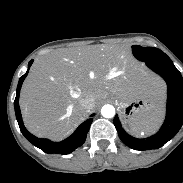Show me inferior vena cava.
I'll use <instances>...</instances> for the list:
<instances>
[{
    "instance_id": "1",
    "label": "inferior vena cava",
    "mask_w": 183,
    "mask_h": 183,
    "mask_svg": "<svg viewBox=\"0 0 183 183\" xmlns=\"http://www.w3.org/2000/svg\"><path fill=\"white\" fill-rule=\"evenodd\" d=\"M80 104L83 108L89 109L94 104V97L90 93L84 94V96L80 99Z\"/></svg>"
}]
</instances>
